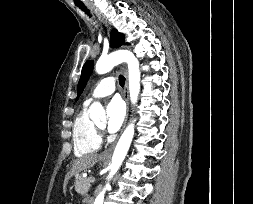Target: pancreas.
<instances>
[{
	"label": "pancreas",
	"mask_w": 253,
	"mask_h": 204,
	"mask_svg": "<svg viewBox=\"0 0 253 204\" xmlns=\"http://www.w3.org/2000/svg\"><path fill=\"white\" fill-rule=\"evenodd\" d=\"M90 186H91V184L88 180V177L84 178V177L80 176L77 178L75 189L78 193L85 195L88 192Z\"/></svg>",
	"instance_id": "pancreas-1"
}]
</instances>
